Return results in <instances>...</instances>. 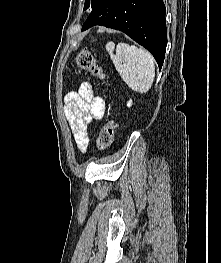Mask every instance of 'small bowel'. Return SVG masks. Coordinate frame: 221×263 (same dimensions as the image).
Returning a JSON list of instances; mask_svg holds the SVG:
<instances>
[{
	"label": "small bowel",
	"mask_w": 221,
	"mask_h": 263,
	"mask_svg": "<svg viewBox=\"0 0 221 263\" xmlns=\"http://www.w3.org/2000/svg\"><path fill=\"white\" fill-rule=\"evenodd\" d=\"M65 116L75 142L81 152L89 147V128L92 120H100L105 114V101L96 95L92 85L84 82L77 91L66 94Z\"/></svg>",
	"instance_id": "1"
}]
</instances>
